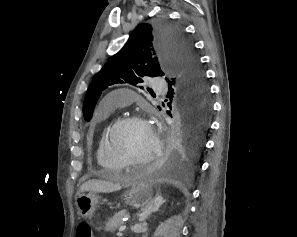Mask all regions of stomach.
<instances>
[{
    "label": "stomach",
    "instance_id": "0dacf381",
    "mask_svg": "<svg viewBox=\"0 0 297 237\" xmlns=\"http://www.w3.org/2000/svg\"><path fill=\"white\" fill-rule=\"evenodd\" d=\"M152 197V186L145 181L132 184L124 195L125 203L135 208L147 206L152 202ZM98 201L99 196L95 192L80 194L76 199L80 216L84 219H91Z\"/></svg>",
    "mask_w": 297,
    "mask_h": 237
}]
</instances>
